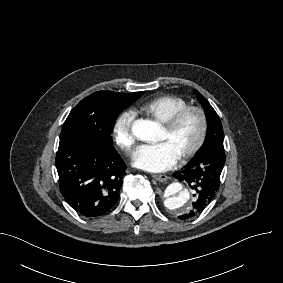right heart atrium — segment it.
<instances>
[{
    "mask_svg": "<svg viewBox=\"0 0 283 283\" xmlns=\"http://www.w3.org/2000/svg\"><path fill=\"white\" fill-rule=\"evenodd\" d=\"M133 121V111L125 109L117 115L111 129L114 144L127 155L131 153L135 143L132 134Z\"/></svg>",
    "mask_w": 283,
    "mask_h": 283,
    "instance_id": "1",
    "label": "right heart atrium"
}]
</instances>
